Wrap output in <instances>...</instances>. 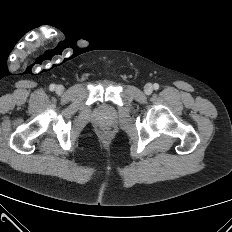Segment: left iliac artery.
I'll return each instance as SVG.
<instances>
[{
	"mask_svg": "<svg viewBox=\"0 0 232 232\" xmlns=\"http://www.w3.org/2000/svg\"><path fill=\"white\" fill-rule=\"evenodd\" d=\"M159 88V85L157 83L154 84V89L157 90Z\"/></svg>",
	"mask_w": 232,
	"mask_h": 232,
	"instance_id": "44dca946",
	"label": "left iliac artery"
}]
</instances>
